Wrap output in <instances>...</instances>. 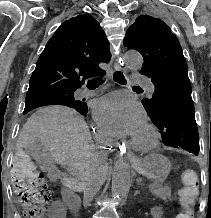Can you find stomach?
<instances>
[{
	"instance_id": "0dacf381",
	"label": "stomach",
	"mask_w": 211,
	"mask_h": 218,
	"mask_svg": "<svg viewBox=\"0 0 211 218\" xmlns=\"http://www.w3.org/2000/svg\"><path fill=\"white\" fill-rule=\"evenodd\" d=\"M136 170L141 175L155 182H162L170 173L171 163L163 155L151 154L137 164Z\"/></svg>"
}]
</instances>
